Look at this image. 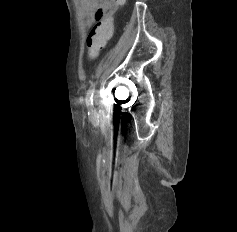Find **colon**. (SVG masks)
Listing matches in <instances>:
<instances>
[{"instance_id": "obj_1", "label": "colon", "mask_w": 237, "mask_h": 232, "mask_svg": "<svg viewBox=\"0 0 237 232\" xmlns=\"http://www.w3.org/2000/svg\"><path fill=\"white\" fill-rule=\"evenodd\" d=\"M124 1L118 0L119 5H122ZM113 20L114 14H110L104 20L99 21L90 31L86 41L90 60L96 59L111 39L114 29Z\"/></svg>"}]
</instances>
